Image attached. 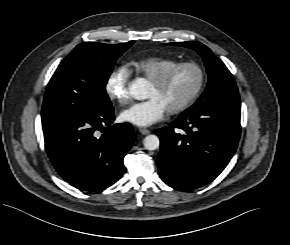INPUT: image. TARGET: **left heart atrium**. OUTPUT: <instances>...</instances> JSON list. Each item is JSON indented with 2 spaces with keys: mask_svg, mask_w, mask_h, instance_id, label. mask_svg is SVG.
<instances>
[{
  "mask_svg": "<svg viewBox=\"0 0 290 245\" xmlns=\"http://www.w3.org/2000/svg\"><path fill=\"white\" fill-rule=\"evenodd\" d=\"M167 112L165 106L155 97L135 103L122 112L123 120L137 126H149L162 120Z\"/></svg>",
  "mask_w": 290,
  "mask_h": 245,
  "instance_id": "39dd6f15",
  "label": "left heart atrium"
}]
</instances>
